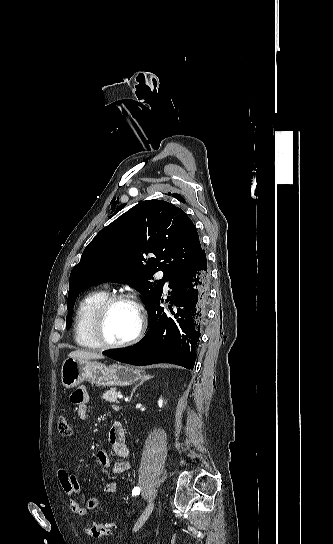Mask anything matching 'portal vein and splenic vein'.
Segmentation results:
<instances>
[{"label": "portal vein and splenic vein", "mask_w": 333, "mask_h": 544, "mask_svg": "<svg viewBox=\"0 0 333 544\" xmlns=\"http://www.w3.org/2000/svg\"><path fill=\"white\" fill-rule=\"evenodd\" d=\"M117 397H118L119 399H122V398H123V395H122L121 393H119V394L117 395Z\"/></svg>", "instance_id": "portal-vein-and-splenic-vein-1"}]
</instances>
